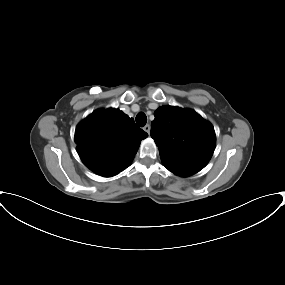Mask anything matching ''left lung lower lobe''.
<instances>
[{
    "label": "left lung lower lobe",
    "mask_w": 285,
    "mask_h": 285,
    "mask_svg": "<svg viewBox=\"0 0 285 285\" xmlns=\"http://www.w3.org/2000/svg\"><path fill=\"white\" fill-rule=\"evenodd\" d=\"M169 171H171L172 173L178 175V176H182V177H187L190 175L195 174L196 172L189 170V169H182V168H176V167H169V166H165Z\"/></svg>",
    "instance_id": "obj_1"
}]
</instances>
